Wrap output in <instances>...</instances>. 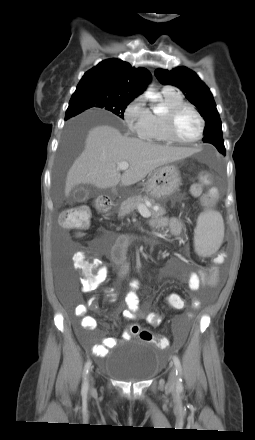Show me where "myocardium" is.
Wrapping results in <instances>:
<instances>
[{"mask_svg":"<svg viewBox=\"0 0 255 440\" xmlns=\"http://www.w3.org/2000/svg\"><path fill=\"white\" fill-rule=\"evenodd\" d=\"M184 110H191L198 118L199 120V132L197 136L191 140H182L180 139L175 132V122L178 117V115L183 112ZM163 123H164V129L166 136L169 140V142L180 144V145H191L196 142H198L204 134L205 130V120L201 113L192 105L183 103L180 105H177L175 107L167 109L163 114Z\"/></svg>","mask_w":255,"mask_h":440,"instance_id":"f54148a6","label":"myocardium"}]
</instances>
